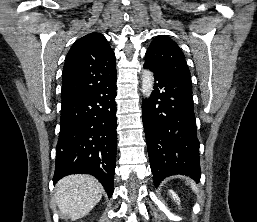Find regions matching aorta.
<instances>
[{
    "instance_id": "obj_1",
    "label": "aorta",
    "mask_w": 257,
    "mask_h": 222,
    "mask_svg": "<svg viewBox=\"0 0 257 222\" xmlns=\"http://www.w3.org/2000/svg\"><path fill=\"white\" fill-rule=\"evenodd\" d=\"M154 77L151 71L144 70L142 73V94L148 98L153 91Z\"/></svg>"
}]
</instances>
